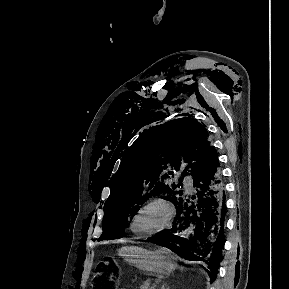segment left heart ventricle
<instances>
[{"label":"left heart ventricle","instance_id":"left-heart-ventricle-1","mask_svg":"<svg viewBox=\"0 0 289 289\" xmlns=\"http://www.w3.org/2000/svg\"><path fill=\"white\" fill-rule=\"evenodd\" d=\"M167 218L166 210L158 205H153L142 212L136 222V228L148 232L162 226Z\"/></svg>","mask_w":289,"mask_h":289}]
</instances>
